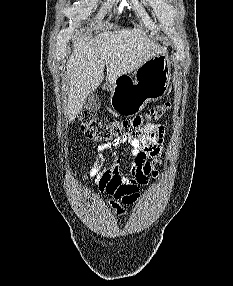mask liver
<instances>
[{"mask_svg": "<svg viewBox=\"0 0 233 286\" xmlns=\"http://www.w3.org/2000/svg\"><path fill=\"white\" fill-rule=\"evenodd\" d=\"M164 53L140 29L117 28L94 37H78L67 61V115L72 121L83 109L86 95L96 90L104 79L114 83L121 75L138 69L150 58Z\"/></svg>", "mask_w": 233, "mask_h": 286, "instance_id": "1", "label": "liver"}]
</instances>
